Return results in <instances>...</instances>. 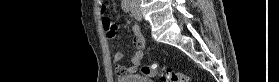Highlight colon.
Here are the masks:
<instances>
[{
  "mask_svg": "<svg viewBox=\"0 0 279 82\" xmlns=\"http://www.w3.org/2000/svg\"><path fill=\"white\" fill-rule=\"evenodd\" d=\"M102 19L104 24H110L112 21L106 16L102 9ZM141 73L153 79H160L168 82H187V77L179 72L158 68L157 65H145L141 67Z\"/></svg>",
  "mask_w": 279,
  "mask_h": 82,
  "instance_id": "1",
  "label": "colon"
}]
</instances>
